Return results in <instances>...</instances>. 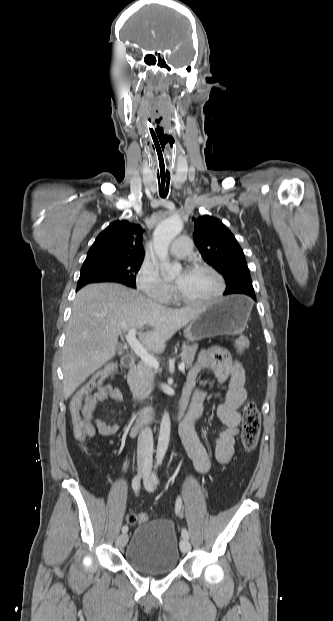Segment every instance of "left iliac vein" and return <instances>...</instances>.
Segmentation results:
<instances>
[{
    "label": "left iliac vein",
    "instance_id": "1",
    "mask_svg": "<svg viewBox=\"0 0 333 621\" xmlns=\"http://www.w3.org/2000/svg\"><path fill=\"white\" fill-rule=\"evenodd\" d=\"M144 480H147V481L150 482V474H149L148 471H146V473L144 475ZM180 550L183 553H187V552H189L191 550V544L189 543L188 540L183 539V540L180 541Z\"/></svg>",
    "mask_w": 333,
    "mask_h": 621
}]
</instances>
